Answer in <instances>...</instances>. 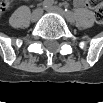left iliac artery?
Here are the masks:
<instances>
[{
    "label": "left iliac artery",
    "instance_id": "1",
    "mask_svg": "<svg viewBox=\"0 0 103 103\" xmlns=\"http://www.w3.org/2000/svg\"><path fill=\"white\" fill-rule=\"evenodd\" d=\"M65 13H66V15H67V17L69 18L70 21L74 20V14L70 10L65 8Z\"/></svg>",
    "mask_w": 103,
    "mask_h": 103
}]
</instances>
